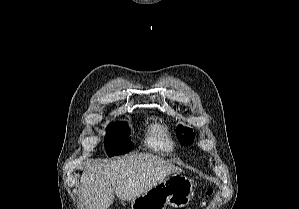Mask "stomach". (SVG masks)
Here are the masks:
<instances>
[{
	"label": "stomach",
	"instance_id": "1",
	"mask_svg": "<svg viewBox=\"0 0 299 209\" xmlns=\"http://www.w3.org/2000/svg\"><path fill=\"white\" fill-rule=\"evenodd\" d=\"M194 182L188 177L175 173L147 192L131 200V209H166L170 204L181 208L193 196Z\"/></svg>",
	"mask_w": 299,
	"mask_h": 209
}]
</instances>
